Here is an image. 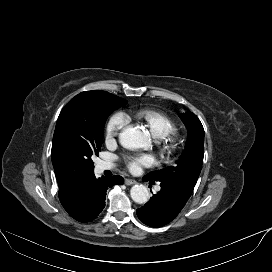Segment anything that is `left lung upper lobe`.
Returning <instances> with one entry per match:
<instances>
[{
  "mask_svg": "<svg viewBox=\"0 0 272 272\" xmlns=\"http://www.w3.org/2000/svg\"><path fill=\"white\" fill-rule=\"evenodd\" d=\"M188 128V140L176 165L148 173V180L172 185L191 196L201 172L204 153V128L193 113L179 114Z\"/></svg>",
  "mask_w": 272,
  "mask_h": 272,
  "instance_id": "1",
  "label": "left lung upper lobe"
}]
</instances>
